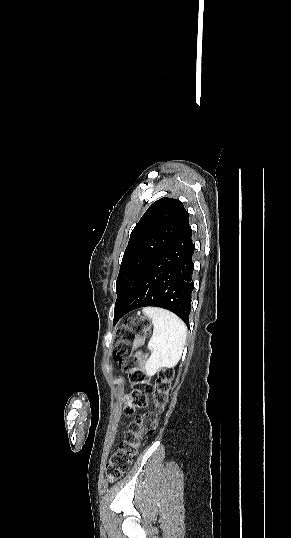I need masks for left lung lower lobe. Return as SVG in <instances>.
I'll return each mask as SVG.
<instances>
[{"label":"left lung lower lobe","instance_id":"obj_1","mask_svg":"<svg viewBox=\"0 0 291 538\" xmlns=\"http://www.w3.org/2000/svg\"><path fill=\"white\" fill-rule=\"evenodd\" d=\"M191 236L188 226L158 256L126 305L115 308L114 324L136 308L155 306L174 312L188 325L194 289Z\"/></svg>","mask_w":291,"mask_h":538}]
</instances>
